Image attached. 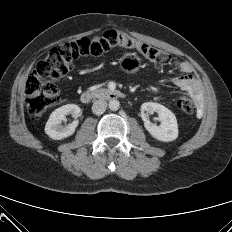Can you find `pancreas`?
Here are the masks:
<instances>
[{"instance_id": "cf45deb5", "label": "pancreas", "mask_w": 232, "mask_h": 232, "mask_svg": "<svg viewBox=\"0 0 232 232\" xmlns=\"http://www.w3.org/2000/svg\"><path fill=\"white\" fill-rule=\"evenodd\" d=\"M108 90L107 89H104V88H101V89H94L93 90V94L97 97H100L101 95L107 93Z\"/></svg>"}]
</instances>
